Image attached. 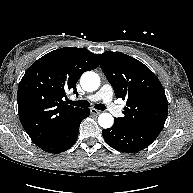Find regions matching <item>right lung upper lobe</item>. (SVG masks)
<instances>
[{
	"instance_id": "right-lung-upper-lobe-1",
	"label": "right lung upper lobe",
	"mask_w": 193,
	"mask_h": 193,
	"mask_svg": "<svg viewBox=\"0 0 193 193\" xmlns=\"http://www.w3.org/2000/svg\"><path fill=\"white\" fill-rule=\"evenodd\" d=\"M99 66L85 48L65 47L47 53L25 72L18 86L19 119L31 140L40 146L76 117L81 108L64 101L66 91H76L81 75Z\"/></svg>"
}]
</instances>
